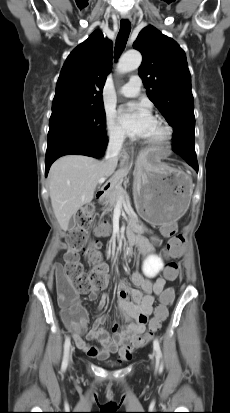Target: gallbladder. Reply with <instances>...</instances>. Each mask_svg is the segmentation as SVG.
Listing matches in <instances>:
<instances>
[{"instance_id": "1", "label": "gallbladder", "mask_w": 230, "mask_h": 413, "mask_svg": "<svg viewBox=\"0 0 230 413\" xmlns=\"http://www.w3.org/2000/svg\"><path fill=\"white\" fill-rule=\"evenodd\" d=\"M75 227V222H74V220H70L69 221V224H68V228L69 229H72V228H74Z\"/></svg>"}]
</instances>
